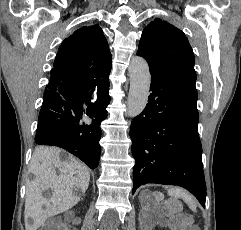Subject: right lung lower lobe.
<instances>
[{"instance_id":"right-lung-lower-lobe-1","label":"right lung lower lobe","mask_w":241,"mask_h":230,"mask_svg":"<svg viewBox=\"0 0 241 230\" xmlns=\"http://www.w3.org/2000/svg\"><path fill=\"white\" fill-rule=\"evenodd\" d=\"M109 85V79L76 78L49 85L39 112L36 143L61 147L95 169L101 153L100 124L111 99Z\"/></svg>"}]
</instances>
